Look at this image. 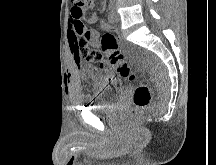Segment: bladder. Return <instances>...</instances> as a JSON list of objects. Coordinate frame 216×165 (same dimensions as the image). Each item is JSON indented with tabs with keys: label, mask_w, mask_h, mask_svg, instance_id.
I'll return each instance as SVG.
<instances>
[{
	"label": "bladder",
	"mask_w": 216,
	"mask_h": 165,
	"mask_svg": "<svg viewBox=\"0 0 216 165\" xmlns=\"http://www.w3.org/2000/svg\"><path fill=\"white\" fill-rule=\"evenodd\" d=\"M121 76H110L107 72L104 76H92V81H84L87 86L88 106H92V111H111L112 103H117L119 97H124V92L119 89L123 86Z\"/></svg>",
	"instance_id": "31cf9c89"
}]
</instances>
